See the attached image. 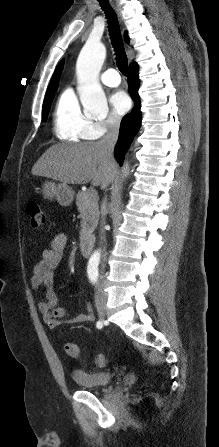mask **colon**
Returning a JSON list of instances; mask_svg holds the SVG:
<instances>
[{
	"mask_svg": "<svg viewBox=\"0 0 219 447\" xmlns=\"http://www.w3.org/2000/svg\"><path fill=\"white\" fill-rule=\"evenodd\" d=\"M27 211L30 218V224L33 228H37L43 225L45 215L41 203L30 202L27 206ZM65 351L67 355L70 356L71 358L77 359L80 356V349L74 343H66ZM94 361L100 367L106 366L108 362L106 356L103 354H97L94 358Z\"/></svg>",
	"mask_w": 219,
	"mask_h": 447,
	"instance_id": "5ec220e1",
	"label": "colon"
}]
</instances>
